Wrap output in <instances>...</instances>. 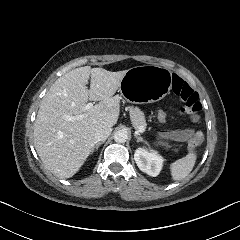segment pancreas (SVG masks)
I'll use <instances>...</instances> for the list:
<instances>
[{"label": "pancreas", "mask_w": 240, "mask_h": 240, "mask_svg": "<svg viewBox=\"0 0 240 240\" xmlns=\"http://www.w3.org/2000/svg\"><path fill=\"white\" fill-rule=\"evenodd\" d=\"M130 118L133 126L138 129L140 126L146 125V120L143 111L137 106H129Z\"/></svg>", "instance_id": "1"}]
</instances>
